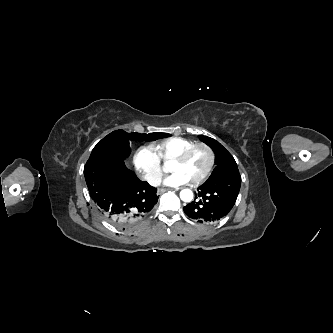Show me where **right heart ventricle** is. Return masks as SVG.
<instances>
[{
	"label": "right heart ventricle",
	"instance_id": "1",
	"mask_svg": "<svg viewBox=\"0 0 333 333\" xmlns=\"http://www.w3.org/2000/svg\"><path fill=\"white\" fill-rule=\"evenodd\" d=\"M193 144L194 142L189 139L173 136L153 143L152 149L161 160L168 162Z\"/></svg>",
	"mask_w": 333,
	"mask_h": 333
}]
</instances>
